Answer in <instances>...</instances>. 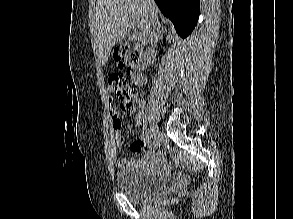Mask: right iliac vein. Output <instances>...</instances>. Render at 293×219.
Listing matches in <instances>:
<instances>
[{"mask_svg":"<svg viewBox=\"0 0 293 219\" xmlns=\"http://www.w3.org/2000/svg\"><path fill=\"white\" fill-rule=\"evenodd\" d=\"M150 138H155L158 134L159 128L156 124H152L149 128Z\"/></svg>","mask_w":293,"mask_h":219,"instance_id":"63e3f726","label":"right iliac vein"}]
</instances>
